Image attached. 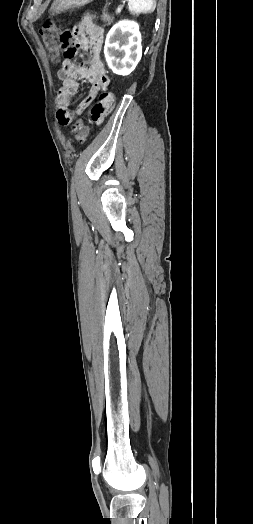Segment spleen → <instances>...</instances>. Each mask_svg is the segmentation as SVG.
<instances>
[{"instance_id":"obj_1","label":"spleen","mask_w":253,"mask_h":524,"mask_svg":"<svg viewBox=\"0 0 253 524\" xmlns=\"http://www.w3.org/2000/svg\"><path fill=\"white\" fill-rule=\"evenodd\" d=\"M128 4L133 14L152 13L156 8L155 0H128Z\"/></svg>"}]
</instances>
